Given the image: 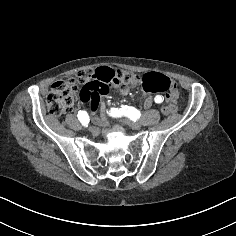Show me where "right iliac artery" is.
Instances as JSON below:
<instances>
[{
  "mask_svg": "<svg viewBox=\"0 0 236 236\" xmlns=\"http://www.w3.org/2000/svg\"><path fill=\"white\" fill-rule=\"evenodd\" d=\"M77 117H78V120L82 123V125L88 126V123L90 120L86 111H81V110L78 111Z\"/></svg>",
  "mask_w": 236,
  "mask_h": 236,
  "instance_id": "right-iliac-artery-1",
  "label": "right iliac artery"
}]
</instances>
